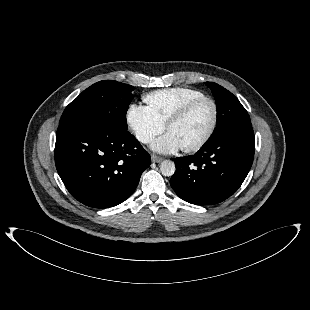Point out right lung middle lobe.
<instances>
[{
    "instance_id": "obj_1",
    "label": "right lung middle lobe",
    "mask_w": 310,
    "mask_h": 310,
    "mask_svg": "<svg viewBox=\"0 0 310 310\" xmlns=\"http://www.w3.org/2000/svg\"><path fill=\"white\" fill-rule=\"evenodd\" d=\"M133 87L113 80L97 82L83 91L64 110L59 126L89 123L113 132H126V112Z\"/></svg>"
}]
</instances>
